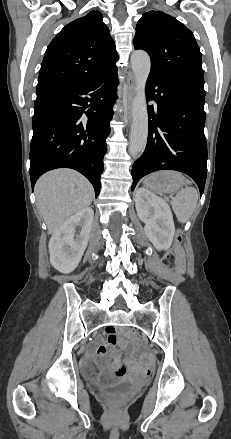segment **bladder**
Wrapping results in <instances>:
<instances>
[{"label": "bladder", "mask_w": 231, "mask_h": 439, "mask_svg": "<svg viewBox=\"0 0 231 439\" xmlns=\"http://www.w3.org/2000/svg\"><path fill=\"white\" fill-rule=\"evenodd\" d=\"M81 372L83 375L85 376H90L93 375L95 373L96 370V366L94 364H92L89 360L87 359H83L81 362ZM132 387V383L131 382H124L121 383L118 386L119 391L121 392H126L128 391L130 388ZM100 392L102 394H106L108 392V390H100Z\"/></svg>", "instance_id": "31cf9c89"}]
</instances>
